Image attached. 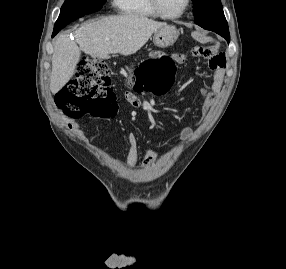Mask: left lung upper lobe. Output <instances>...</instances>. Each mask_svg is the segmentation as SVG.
<instances>
[{"mask_svg":"<svg viewBox=\"0 0 286 269\" xmlns=\"http://www.w3.org/2000/svg\"><path fill=\"white\" fill-rule=\"evenodd\" d=\"M195 23L214 32L228 31L220 0H192Z\"/></svg>","mask_w":286,"mask_h":269,"instance_id":"5c2ea615","label":"left lung upper lobe"}]
</instances>
